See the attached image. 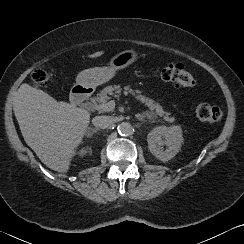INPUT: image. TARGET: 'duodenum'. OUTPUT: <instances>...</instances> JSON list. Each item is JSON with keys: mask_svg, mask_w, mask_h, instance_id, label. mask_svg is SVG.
Wrapping results in <instances>:
<instances>
[{"mask_svg": "<svg viewBox=\"0 0 244 244\" xmlns=\"http://www.w3.org/2000/svg\"><path fill=\"white\" fill-rule=\"evenodd\" d=\"M92 94V89L86 85H77L72 89L70 101L73 105L78 106L86 103Z\"/></svg>", "mask_w": 244, "mask_h": 244, "instance_id": "obj_1", "label": "duodenum"}]
</instances>
